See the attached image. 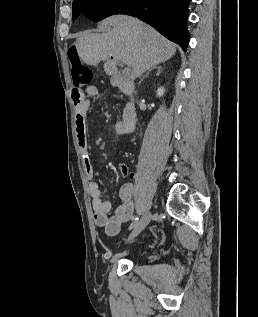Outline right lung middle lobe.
I'll use <instances>...</instances> for the list:
<instances>
[{"instance_id": "dd1d6c3e", "label": "right lung middle lobe", "mask_w": 258, "mask_h": 317, "mask_svg": "<svg viewBox=\"0 0 258 317\" xmlns=\"http://www.w3.org/2000/svg\"><path fill=\"white\" fill-rule=\"evenodd\" d=\"M119 2L120 0H73V20L85 11L86 17L94 21H100L114 15Z\"/></svg>"}]
</instances>
